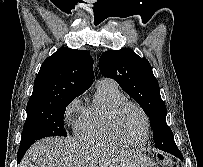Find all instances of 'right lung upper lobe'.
<instances>
[{"mask_svg": "<svg viewBox=\"0 0 203 167\" xmlns=\"http://www.w3.org/2000/svg\"><path fill=\"white\" fill-rule=\"evenodd\" d=\"M93 82V60L86 50L59 48L42 64L28 105L77 97Z\"/></svg>", "mask_w": 203, "mask_h": 167, "instance_id": "right-lung-upper-lobe-1", "label": "right lung upper lobe"}]
</instances>
